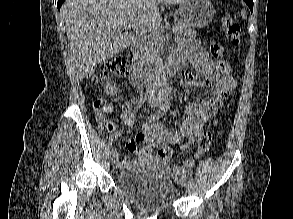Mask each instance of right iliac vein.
<instances>
[{
	"label": "right iliac vein",
	"instance_id": "63e3f726",
	"mask_svg": "<svg viewBox=\"0 0 293 219\" xmlns=\"http://www.w3.org/2000/svg\"><path fill=\"white\" fill-rule=\"evenodd\" d=\"M157 104H158V103H152L151 106H156ZM117 161H118V153L115 152V153H113L112 156H111V164H112V165H115V164L117 163Z\"/></svg>",
	"mask_w": 293,
	"mask_h": 219
}]
</instances>
